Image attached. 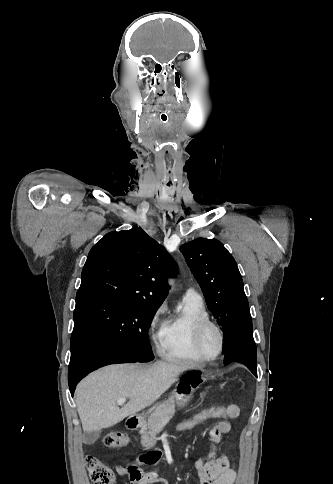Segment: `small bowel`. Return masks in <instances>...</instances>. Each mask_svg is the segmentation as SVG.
Wrapping results in <instances>:
<instances>
[{"label":"small bowel","mask_w":333,"mask_h":484,"mask_svg":"<svg viewBox=\"0 0 333 484\" xmlns=\"http://www.w3.org/2000/svg\"><path fill=\"white\" fill-rule=\"evenodd\" d=\"M225 411L224 418L232 419L239 415V408L234 404L226 406ZM230 430V423L226 420L219 422L210 430L212 442L210 460L207 463L199 458L194 461L200 484H235L237 474L234 461L226 454L218 453V445L227 438ZM117 472L121 476L128 477L131 484H165L158 477L157 471L143 472L134 465L118 467Z\"/></svg>","instance_id":"1"}]
</instances>
